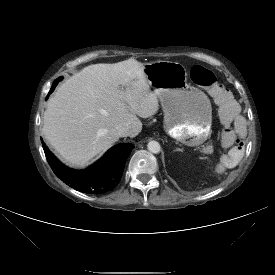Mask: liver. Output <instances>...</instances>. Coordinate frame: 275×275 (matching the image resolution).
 Wrapping results in <instances>:
<instances>
[{
	"label": "liver",
	"instance_id": "6515ba94",
	"mask_svg": "<svg viewBox=\"0 0 275 275\" xmlns=\"http://www.w3.org/2000/svg\"><path fill=\"white\" fill-rule=\"evenodd\" d=\"M143 66L133 58L90 65L57 88L44 112L43 134L66 163L87 164L117 140L113 128L127 125L135 137L142 130L139 117L158 112Z\"/></svg>",
	"mask_w": 275,
	"mask_h": 275
}]
</instances>
